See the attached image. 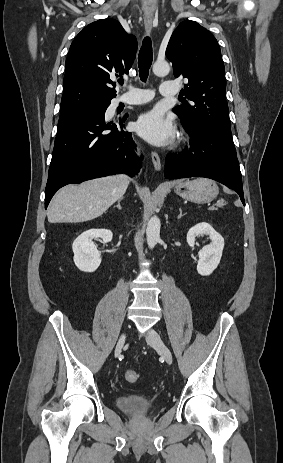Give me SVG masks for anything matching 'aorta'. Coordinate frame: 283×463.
<instances>
[{
    "label": "aorta",
    "instance_id": "aorta-1",
    "mask_svg": "<svg viewBox=\"0 0 283 463\" xmlns=\"http://www.w3.org/2000/svg\"><path fill=\"white\" fill-rule=\"evenodd\" d=\"M170 67L167 62L156 61L153 65V73L157 76H165L169 73ZM160 220L157 216H153L146 228L147 244L150 249H153L160 240Z\"/></svg>",
    "mask_w": 283,
    "mask_h": 463
}]
</instances>
